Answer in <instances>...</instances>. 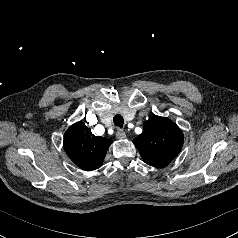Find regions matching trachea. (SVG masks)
Instances as JSON below:
<instances>
[{"mask_svg": "<svg viewBox=\"0 0 238 238\" xmlns=\"http://www.w3.org/2000/svg\"><path fill=\"white\" fill-rule=\"evenodd\" d=\"M113 122H114L115 126L122 128L123 124H124V119L121 115L118 114V115L114 116Z\"/></svg>", "mask_w": 238, "mask_h": 238, "instance_id": "obj_1", "label": "trachea"}]
</instances>
